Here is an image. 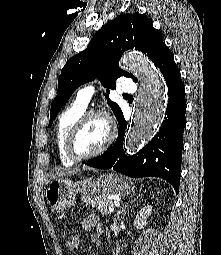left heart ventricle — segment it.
I'll return each instance as SVG.
<instances>
[{"label": "left heart ventricle", "mask_w": 221, "mask_h": 255, "mask_svg": "<svg viewBox=\"0 0 221 255\" xmlns=\"http://www.w3.org/2000/svg\"><path fill=\"white\" fill-rule=\"evenodd\" d=\"M107 137L105 122L98 117L91 118L81 129L76 140V151L85 155L99 149Z\"/></svg>", "instance_id": "left-heart-ventricle-1"}]
</instances>
